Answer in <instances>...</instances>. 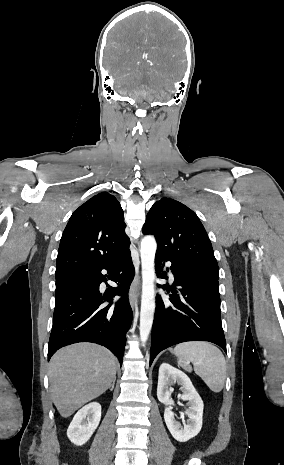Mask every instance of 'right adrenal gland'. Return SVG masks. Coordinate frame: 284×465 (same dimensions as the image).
Returning a JSON list of instances; mask_svg holds the SVG:
<instances>
[{
	"label": "right adrenal gland",
	"instance_id": "2a0ac1e0",
	"mask_svg": "<svg viewBox=\"0 0 284 465\" xmlns=\"http://www.w3.org/2000/svg\"><path fill=\"white\" fill-rule=\"evenodd\" d=\"M115 381H116V377H114V379H113V381H112V385H110V387H111L110 391H113L114 385H115Z\"/></svg>",
	"mask_w": 284,
	"mask_h": 465
}]
</instances>
